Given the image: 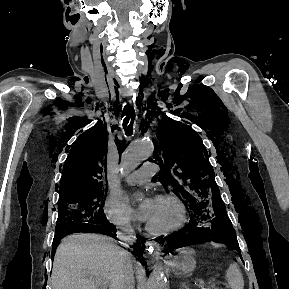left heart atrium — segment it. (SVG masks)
<instances>
[{
  "label": "left heart atrium",
  "mask_w": 289,
  "mask_h": 289,
  "mask_svg": "<svg viewBox=\"0 0 289 289\" xmlns=\"http://www.w3.org/2000/svg\"><path fill=\"white\" fill-rule=\"evenodd\" d=\"M155 203L156 199L149 195L145 196L136 208L137 218L141 221H148L155 208Z\"/></svg>",
  "instance_id": "left-heart-atrium-1"
}]
</instances>
